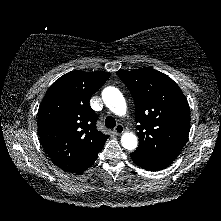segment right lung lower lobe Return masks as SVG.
Returning a JSON list of instances; mask_svg holds the SVG:
<instances>
[{"label":"right lung lower lobe","instance_id":"98d812e1","mask_svg":"<svg viewBox=\"0 0 221 221\" xmlns=\"http://www.w3.org/2000/svg\"><path fill=\"white\" fill-rule=\"evenodd\" d=\"M98 157V154L83 168H81L79 171L75 172V173H81L83 171H85L88 167H90L96 160V158Z\"/></svg>","mask_w":221,"mask_h":221}]
</instances>
